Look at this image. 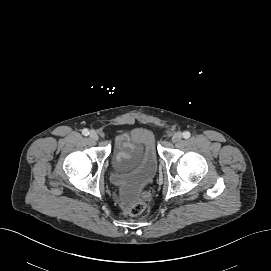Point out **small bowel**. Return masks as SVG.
I'll use <instances>...</instances> for the list:
<instances>
[{
    "instance_id": "small-bowel-1",
    "label": "small bowel",
    "mask_w": 271,
    "mask_h": 271,
    "mask_svg": "<svg viewBox=\"0 0 271 271\" xmlns=\"http://www.w3.org/2000/svg\"><path fill=\"white\" fill-rule=\"evenodd\" d=\"M117 161L131 158L136 153V148L131 137L123 133L116 139Z\"/></svg>"
}]
</instances>
